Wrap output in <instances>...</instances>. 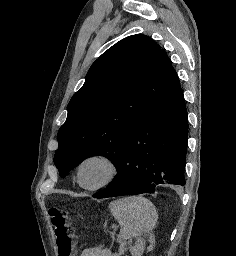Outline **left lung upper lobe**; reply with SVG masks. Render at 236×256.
I'll use <instances>...</instances> for the list:
<instances>
[{"mask_svg": "<svg viewBox=\"0 0 236 256\" xmlns=\"http://www.w3.org/2000/svg\"><path fill=\"white\" fill-rule=\"evenodd\" d=\"M180 86L164 50L148 36L126 37L102 54L71 98L58 131L59 175L102 155L117 168L138 121Z\"/></svg>", "mask_w": 236, "mask_h": 256, "instance_id": "obj_1", "label": "left lung upper lobe"}]
</instances>
